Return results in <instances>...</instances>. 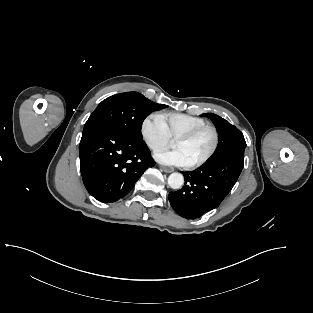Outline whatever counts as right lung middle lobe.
Returning a JSON list of instances; mask_svg holds the SVG:
<instances>
[{
    "label": "right lung middle lobe",
    "instance_id": "dd1d6c3e",
    "mask_svg": "<svg viewBox=\"0 0 313 313\" xmlns=\"http://www.w3.org/2000/svg\"><path fill=\"white\" fill-rule=\"evenodd\" d=\"M167 106L157 104L138 92H126L103 100L85 123L83 133L96 127H110L125 135L142 140L144 119L153 111Z\"/></svg>",
    "mask_w": 313,
    "mask_h": 313
}]
</instances>
